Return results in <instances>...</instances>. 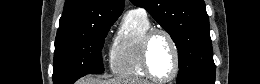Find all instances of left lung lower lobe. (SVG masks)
<instances>
[{"label": "left lung lower lobe", "mask_w": 260, "mask_h": 84, "mask_svg": "<svg viewBox=\"0 0 260 84\" xmlns=\"http://www.w3.org/2000/svg\"><path fill=\"white\" fill-rule=\"evenodd\" d=\"M194 84H207V83H194Z\"/></svg>", "instance_id": "1"}]
</instances>
